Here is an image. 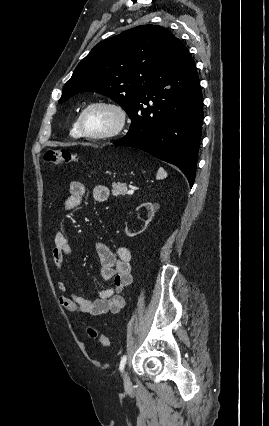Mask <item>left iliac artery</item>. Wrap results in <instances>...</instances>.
Wrapping results in <instances>:
<instances>
[{"label":"left iliac artery","mask_w":269,"mask_h":426,"mask_svg":"<svg viewBox=\"0 0 269 426\" xmlns=\"http://www.w3.org/2000/svg\"><path fill=\"white\" fill-rule=\"evenodd\" d=\"M126 360H127V357H126V356H123V357L121 358V361H120V367H119V369H120V371H121V372H123V370H124V367H125V364H126Z\"/></svg>","instance_id":"left-iliac-artery-1"}]
</instances>
